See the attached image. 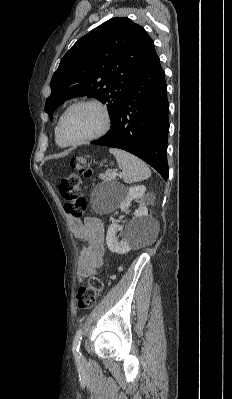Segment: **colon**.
<instances>
[{"label":"colon","mask_w":232,"mask_h":399,"mask_svg":"<svg viewBox=\"0 0 232 399\" xmlns=\"http://www.w3.org/2000/svg\"><path fill=\"white\" fill-rule=\"evenodd\" d=\"M73 168L75 175H67V180H62L64 186H59V191L70 196H83L82 172H91V156L74 157ZM71 202L65 203V212H69L70 218H83V212H87L88 208L87 198H72ZM89 280L78 289V294H81L77 297L81 301L78 307L86 310L87 305H90V311H95L98 300H101V288L107 286V275H102V283H99V276H90Z\"/></svg>","instance_id":"obj_1"}]
</instances>
